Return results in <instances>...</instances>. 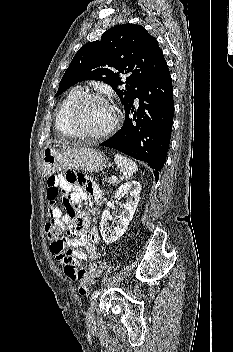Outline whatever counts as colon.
Returning <instances> with one entry per match:
<instances>
[{
	"label": "colon",
	"instance_id": "1",
	"mask_svg": "<svg viewBox=\"0 0 233 352\" xmlns=\"http://www.w3.org/2000/svg\"><path fill=\"white\" fill-rule=\"evenodd\" d=\"M45 232L47 237L53 242L64 247L67 242V237L64 231L55 224L48 222L45 225ZM107 264L104 260H98L92 264L88 269H81L76 279L78 281V290L81 295H84L89 290L90 286L95 283L100 274L105 270Z\"/></svg>",
	"mask_w": 233,
	"mask_h": 352
}]
</instances>
